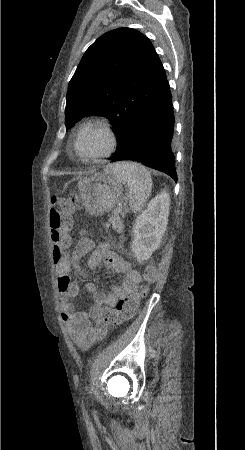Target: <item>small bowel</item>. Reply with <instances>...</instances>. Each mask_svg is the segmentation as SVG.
I'll use <instances>...</instances> for the list:
<instances>
[{"label": "small bowel", "mask_w": 245, "mask_h": 450, "mask_svg": "<svg viewBox=\"0 0 245 450\" xmlns=\"http://www.w3.org/2000/svg\"><path fill=\"white\" fill-rule=\"evenodd\" d=\"M91 252L87 268L82 258ZM122 277V280L106 294L98 291L94 283H87L85 291L91 296L93 305L89 311H76L70 303L79 294V286L71 279V269L75 268L87 274V269L96 268L101 263ZM56 284L61 304V318L72 340L83 349H87L102 339L108 331L106 323L98 318L102 305L114 307L117 301L130 294L141 281L140 274L130 264L112 252L111 244H95L92 239L84 238L77 242L75 250L55 267Z\"/></svg>", "instance_id": "c3829d8e"}]
</instances>
